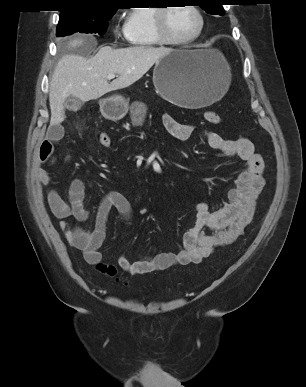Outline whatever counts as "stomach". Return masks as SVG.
Here are the masks:
<instances>
[{"label": "stomach", "mask_w": 306, "mask_h": 387, "mask_svg": "<svg viewBox=\"0 0 306 387\" xmlns=\"http://www.w3.org/2000/svg\"><path fill=\"white\" fill-rule=\"evenodd\" d=\"M156 91L180 107L197 109L221 99L231 83L224 56L214 49L172 50L153 69ZM102 115L116 121L128 111V102L119 95L99 101Z\"/></svg>", "instance_id": "obj_1"}]
</instances>
